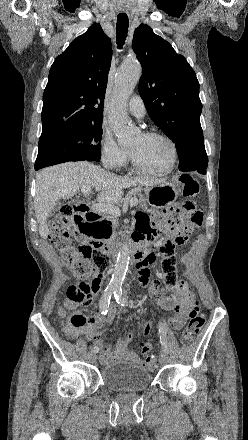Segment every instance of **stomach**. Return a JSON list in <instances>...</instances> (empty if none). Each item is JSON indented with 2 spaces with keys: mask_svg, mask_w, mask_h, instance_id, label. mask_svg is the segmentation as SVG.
Listing matches in <instances>:
<instances>
[{
  "mask_svg": "<svg viewBox=\"0 0 248 440\" xmlns=\"http://www.w3.org/2000/svg\"><path fill=\"white\" fill-rule=\"evenodd\" d=\"M147 202L154 208H164L174 203L178 197V190L169 182L163 181L145 188ZM114 231L111 218H96L93 228H82L77 234L78 241H89L90 235L95 241H104L108 244L110 232Z\"/></svg>",
  "mask_w": 248,
  "mask_h": 440,
  "instance_id": "obj_1",
  "label": "stomach"
}]
</instances>
